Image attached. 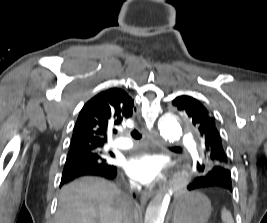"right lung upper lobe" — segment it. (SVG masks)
Segmentation results:
<instances>
[{
  "label": "right lung upper lobe",
  "mask_w": 267,
  "mask_h": 223,
  "mask_svg": "<svg viewBox=\"0 0 267 223\" xmlns=\"http://www.w3.org/2000/svg\"><path fill=\"white\" fill-rule=\"evenodd\" d=\"M134 101L119 88L103 91L82 108L72 135L70 150L83 146L103 148L107 133L132 116Z\"/></svg>",
  "instance_id": "obj_1"
}]
</instances>
